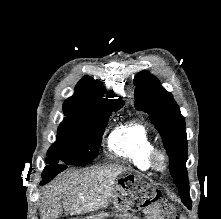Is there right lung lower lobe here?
Returning a JSON list of instances; mask_svg holds the SVG:
<instances>
[{"label": "right lung lower lobe", "mask_w": 221, "mask_h": 219, "mask_svg": "<svg viewBox=\"0 0 221 219\" xmlns=\"http://www.w3.org/2000/svg\"><path fill=\"white\" fill-rule=\"evenodd\" d=\"M65 169H66V166L60 165V164H55V165H50V166L45 167L43 174H42L43 180L41 181L40 185H44L48 183L58 173H60L61 171Z\"/></svg>", "instance_id": "1"}]
</instances>
